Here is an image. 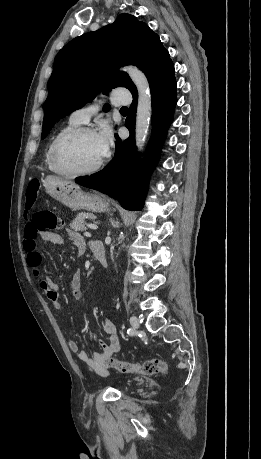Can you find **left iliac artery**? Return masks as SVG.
I'll return each mask as SVG.
<instances>
[{
    "mask_svg": "<svg viewBox=\"0 0 261 459\" xmlns=\"http://www.w3.org/2000/svg\"><path fill=\"white\" fill-rule=\"evenodd\" d=\"M127 333H128L129 335H134L135 331H134L132 328H129V329L127 330Z\"/></svg>",
    "mask_w": 261,
    "mask_h": 459,
    "instance_id": "left-iliac-artery-1",
    "label": "left iliac artery"
}]
</instances>
